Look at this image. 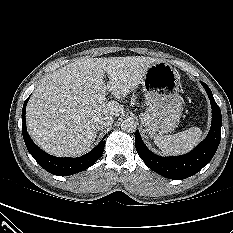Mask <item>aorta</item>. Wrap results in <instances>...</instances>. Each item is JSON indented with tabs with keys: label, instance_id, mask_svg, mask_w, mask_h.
Masks as SVG:
<instances>
[{
	"label": "aorta",
	"instance_id": "762f6f07",
	"mask_svg": "<svg viewBox=\"0 0 233 233\" xmlns=\"http://www.w3.org/2000/svg\"><path fill=\"white\" fill-rule=\"evenodd\" d=\"M136 127V122L131 118H127L121 123V129L125 132H134Z\"/></svg>",
	"mask_w": 233,
	"mask_h": 233
}]
</instances>
